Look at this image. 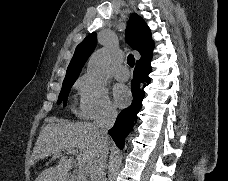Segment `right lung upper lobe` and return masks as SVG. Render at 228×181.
I'll use <instances>...</instances> for the list:
<instances>
[{"label":"right lung upper lobe","mask_w":228,"mask_h":181,"mask_svg":"<svg viewBox=\"0 0 228 181\" xmlns=\"http://www.w3.org/2000/svg\"><path fill=\"white\" fill-rule=\"evenodd\" d=\"M125 35L131 48L140 53L141 58L139 60L145 59L152 54L154 43L151 40V31L145 21L136 13L130 16ZM96 44L97 35L93 32L76 47L74 56L67 68L64 82L78 78L82 67L94 51Z\"/></svg>","instance_id":"obj_1"}]
</instances>
